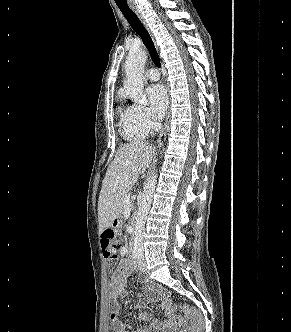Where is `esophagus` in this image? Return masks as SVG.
Masks as SVG:
<instances>
[{
	"label": "esophagus",
	"instance_id": "esophagus-1",
	"mask_svg": "<svg viewBox=\"0 0 291 332\" xmlns=\"http://www.w3.org/2000/svg\"><path fill=\"white\" fill-rule=\"evenodd\" d=\"M129 6L132 9V11L137 15V17L142 22V24L145 26V28L148 30V32L150 33L148 25H147L143 15H142V13L140 12V10L133 3H129ZM169 118H170V107H169L168 112H167V116H166V119H165V122H164V126L161 130V133H160L158 139H157V145L158 146H161L163 144L165 138H166V134H167L168 127H169Z\"/></svg>",
	"mask_w": 291,
	"mask_h": 332
}]
</instances>
